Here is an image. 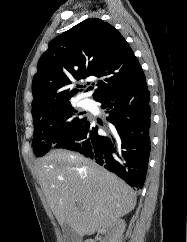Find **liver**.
<instances>
[{"label":"liver","mask_w":187,"mask_h":242,"mask_svg":"<svg viewBox=\"0 0 187 242\" xmlns=\"http://www.w3.org/2000/svg\"><path fill=\"white\" fill-rule=\"evenodd\" d=\"M36 176L61 227L66 223L81 237L136 205V195L125 182L77 153L51 151L37 162Z\"/></svg>","instance_id":"1"}]
</instances>
